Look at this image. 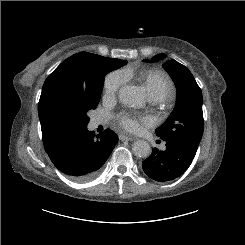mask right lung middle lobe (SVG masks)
Segmentation results:
<instances>
[{"label": "right lung middle lobe", "mask_w": 245, "mask_h": 245, "mask_svg": "<svg viewBox=\"0 0 245 245\" xmlns=\"http://www.w3.org/2000/svg\"><path fill=\"white\" fill-rule=\"evenodd\" d=\"M85 64L93 80V89L89 94L74 92L63 82H53L44 91L39 103L41 113L56 131L70 134L87 128V113L99 103L104 76L125 65L126 61L91 54Z\"/></svg>", "instance_id": "obj_1"}]
</instances>
